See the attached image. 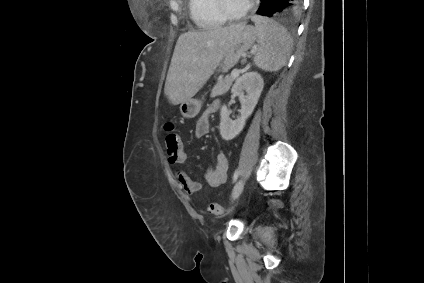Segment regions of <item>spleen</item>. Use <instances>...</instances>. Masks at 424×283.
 <instances>
[{
    "label": "spleen",
    "instance_id": "3e777b00",
    "mask_svg": "<svg viewBox=\"0 0 424 283\" xmlns=\"http://www.w3.org/2000/svg\"><path fill=\"white\" fill-rule=\"evenodd\" d=\"M258 48L253 62L265 72H277L291 53L292 39L287 30L277 22L262 16H254Z\"/></svg>",
    "mask_w": 424,
    "mask_h": 283
}]
</instances>
